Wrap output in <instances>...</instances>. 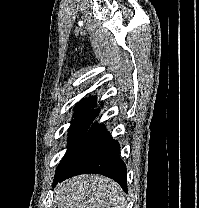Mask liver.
Returning a JSON list of instances; mask_svg holds the SVG:
<instances>
[{
  "mask_svg": "<svg viewBox=\"0 0 199 208\" xmlns=\"http://www.w3.org/2000/svg\"><path fill=\"white\" fill-rule=\"evenodd\" d=\"M58 208H125V197L113 180L83 174L62 182L55 189Z\"/></svg>",
  "mask_w": 199,
  "mask_h": 208,
  "instance_id": "obj_1",
  "label": "liver"
}]
</instances>
